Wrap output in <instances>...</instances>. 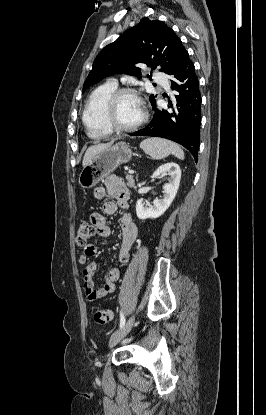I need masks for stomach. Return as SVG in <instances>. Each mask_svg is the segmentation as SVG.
I'll use <instances>...</instances> for the list:
<instances>
[{
  "instance_id": "1",
  "label": "stomach",
  "mask_w": 266,
  "mask_h": 415,
  "mask_svg": "<svg viewBox=\"0 0 266 415\" xmlns=\"http://www.w3.org/2000/svg\"><path fill=\"white\" fill-rule=\"evenodd\" d=\"M132 157V151L125 142H118L100 151L86 165L78 178L83 189L94 187L99 181L109 176L118 166L127 163Z\"/></svg>"
}]
</instances>
